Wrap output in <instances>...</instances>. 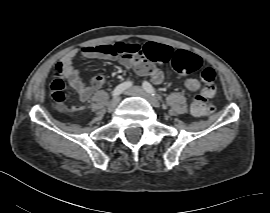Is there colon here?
Listing matches in <instances>:
<instances>
[{
  "label": "colon",
  "instance_id": "obj_1",
  "mask_svg": "<svg viewBox=\"0 0 270 213\" xmlns=\"http://www.w3.org/2000/svg\"><path fill=\"white\" fill-rule=\"evenodd\" d=\"M109 49L117 55L138 56L143 54V48L138 44L117 42L111 44ZM171 63L179 75H186L198 71L203 81V87L200 92L194 96L191 103V113L195 116H205L212 111L213 105L211 98L216 93L214 70L205 66L201 58L183 50L176 51L172 58L166 60ZM51 97L57 104L58 110L66 112L68 107L64 103V88L60 81H54L51 85Z\"/></svg>",
  "mask_w": 270,
  "mask_h": 213
}]
</instances>
